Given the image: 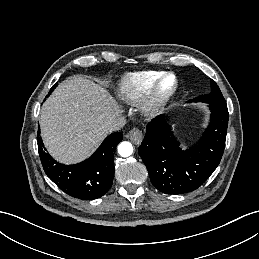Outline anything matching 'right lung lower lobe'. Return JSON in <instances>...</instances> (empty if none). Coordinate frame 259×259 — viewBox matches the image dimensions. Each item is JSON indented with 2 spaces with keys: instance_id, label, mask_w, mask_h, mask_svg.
Masks as SVG:
<instances>
[{
  "instance_id": "obj_1",
  "label": "right lung lower lobe",
  "mask_w": 259,
  "mask_h": 259,
  "mask_svg": "<svg viewBox=\"0 0 259 259\" xmlns=\"http://www.w3.org/2000/svg\"><path fill=\"white\" fill-rule=\"evenodd\" d=\"M38 131L39 156L47 176L66 194L84 200L103 196L112 186L114 177L113 152L122 141V133L108 136L97 151L87 160L76 165L56 162L43 146Z\"/></svg>"
}]
</instances>
